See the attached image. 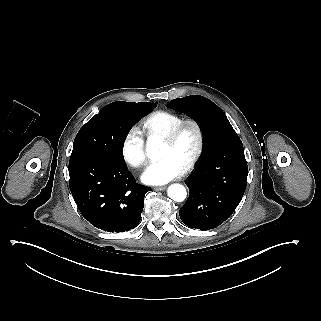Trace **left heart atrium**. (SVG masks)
<instances>
[{
  "mask_svg": "<svg viewBox=\"0 0 321 321\" xmlns=\"http://www.w3.org/2000/svg\"><path fill=\"white\" fill-rule=\"evenodd\" d=\"M183 167L173 155H167L161 160L149 164L143 174L142 181L149 185H163L180 177Z\"/></svg>",
  "mask_w": 321,
  "mask_h": 321,
  "instance_id": "left-heart-atrium-1",
  "label": "left heart atrium"
}]
</instances>
